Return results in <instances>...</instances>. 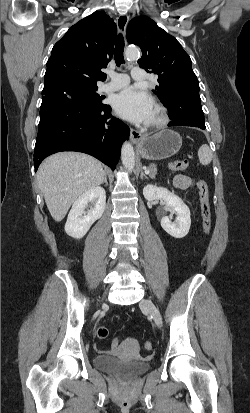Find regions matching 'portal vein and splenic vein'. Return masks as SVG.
I'll return each mask as SVG.
<instances>
[{"mask_svg":"<svg viewBox=\"0 0 250 413\" xmlns=\"http://www.w3.org/2000/svg\"><path fill=\"white\" fill-rule=\"evenodd\" d=\"M145 170H146V168H145ZM146 172L149 173V170H146Z\"/></svg>","mask_w":250,"mask_h":413,"instance_id":"1","label":"portal vein and splenic vein"}]
</instances>
